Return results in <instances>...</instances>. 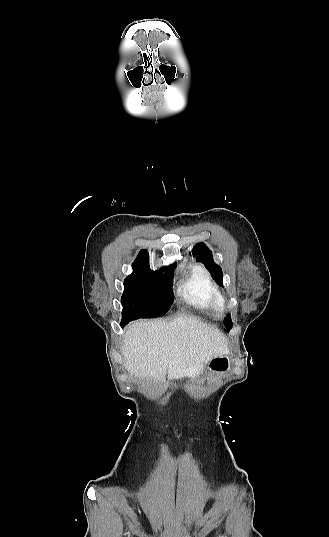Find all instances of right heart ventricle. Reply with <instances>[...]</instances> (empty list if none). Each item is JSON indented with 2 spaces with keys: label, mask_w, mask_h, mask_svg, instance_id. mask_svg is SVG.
I'll use <instances>...</instances> for the list:
<instances>
[{
  "label": "right heart ventricle",
  "mask_w": 329,
  "mask_h": 537,
  "mask_svg": "<svg viewBox=\"0 0 329 537\" xmlns=\"http://www.w3.org/2000/svg\"><path fill=\"white\" fill-rule=\"evenodd\" d=\"M179 292L194 307L216 313L224 311L223 294L201 265L189 267L180 282Z\"/></svg>",
  "instance_id": "right-heart-ventricle-1"
}]
</instances>
